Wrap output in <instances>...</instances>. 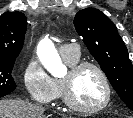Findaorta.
<instances>
[{
	"instance_id": "obj_1",
	"label": "aorta",
	"mask_w": 133,
	"mask_h": 118,
	"mask_svg": "<svg viewBox=\"0 0 133 118\" xmlns=\"http://www.w3.org/2000/svg\"><path fill=\"white\" fill-rule=\"evenodd\" d=\"M38 56L43 66L53 76H60L65 72V66L62 64L60 56L51 41H45V44L42 50L38 53Z\"/></svg>"
}]
</instances>
